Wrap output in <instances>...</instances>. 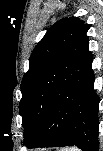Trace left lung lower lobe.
I'll return each mask as SVG.
<instances>
[{"label":"left lung lower lobe","mask_w":103,"mask_h":151,"mask_svg":"<svg viewBox=\"0 0 103 151\" xmlns=\"http://www.w3.org/2000/svg\"><path fill=\"white\" fill-rule=\"evenodd\" d=\"M99 96L85 34L31 81L23 116L28 148L77 146L98 151Z\"/></svg>","instance_id":"obj_1"}]
</instances>
